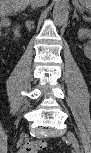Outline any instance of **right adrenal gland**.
<instances>
[{
    "mask_svg": "<svg viewBox=\"0 0 91 153\" xmlns=\"http://www.w3.org/2000/svg\"><path fill=\"white\" fill-rule=\"evenodd\" d=\"M31 9H32V10H34V9H36V8H35V7H33V6L31 5Z\"/></svg>",
    "mask_w": 91,
    "mask_h": 153,
    "instance_id": "right-adrenal-gland-1",
    "label": "right adrenal gland"
}]
</instances>
